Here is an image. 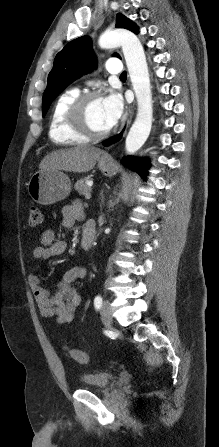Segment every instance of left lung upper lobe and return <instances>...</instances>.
Wrapping results in <instances>:
<instances>
[{
	"label": "left lung upper lobe",
	"mask_w": 219,
	"mask_h": 447,
	"mask_svg": "<svg viewBox=\"0 0 219 447\" xmlns=\"http://www.w3.org/2000/svg\"><path fill=\"white\" fill-rule=\"evenodd\" d=\"M116 27L138 32L135 24L121 14L117 15ZM114 56H118L114 54ZM95 65L91 40L82 36L69 42L55 57L54 66L48 75L47 87L43 94L42 116H45L52 101L82 73Z\"/></svg>",
	"instance_id": "obj_1"
}]
</instances>
